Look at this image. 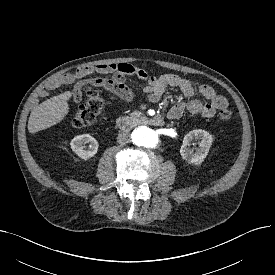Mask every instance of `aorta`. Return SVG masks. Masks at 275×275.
<instances>
[{
    "instance_id": "762f6f07",
    "label": "aorta",
    "mask_w": 275,
    "mask_h": 275,
    "mask_svg": "<svg viewBox=\"0 0 275 275\" xmlns=\"http://www.w3.org/2000/svg\"><path fill=\"white\" fill-rule=\"evenodd\" d=\"M132 140L137 146L144 148H155L158 144V137L155 131L145 126H139L134 129Z\"/></svg>"
}]
</instances>
